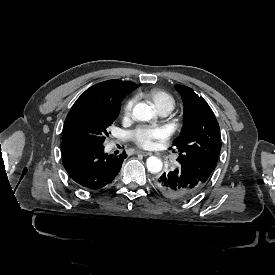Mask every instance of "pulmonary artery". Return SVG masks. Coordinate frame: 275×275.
Returning a JSON list of instances; mask_svg holds the SVG:
<instances>
[{"instance_id":"e3ab8cb5","label":"pulmonary artery","mask_w":275,"mask_h":275,"mask_svg":"<svg viewBox=\"0 0 275 275\" xmlns=\"http://www.w3.org/2000/svg\"><path fill=\"white\" fill-rule=\"evenodd\" d=\"M168 112H169L168 109H161L160 111L156 112L155 115H154L155 120L161 121V120L167 119V117H168L167 113ZM115 146H116V142H111L110 143V149H113ZM170 164L172 166H175L177 164V161L175 159H172L170 161Z\"/></svg>"}]
</instances>
